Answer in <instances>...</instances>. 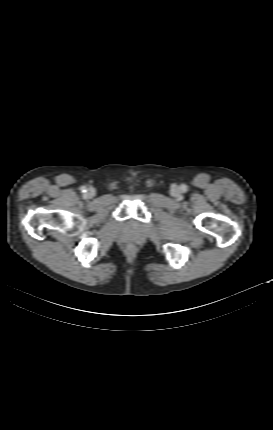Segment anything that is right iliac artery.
I'll return each mask as SVG.
<instances>
[{"label":"right iliac artery","instance_id":"obj_1","mask_svg":"<svg viewBox=\"0 0 273 430\" xmlns=\"http://www.w3.org/2000/svg\"><path fill=\"white\" fill-rule=\"evenodd\" d=\"M80 190H81V192H83V193L87 192V189H86V187H85V186H82V187L80 188Z\"/></svg>","mask_w":273,"mask_h":430}]
</instances>
